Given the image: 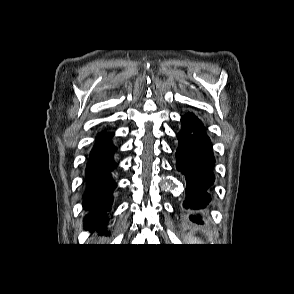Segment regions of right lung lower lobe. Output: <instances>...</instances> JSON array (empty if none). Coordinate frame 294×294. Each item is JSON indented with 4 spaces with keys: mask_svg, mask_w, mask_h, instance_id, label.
<instances>
[{
    "mask_svg": "<svg viewBox=\"0 0 294 294\" xmlns=\"http://www.w3.org/2000/svg\"><path fill=\"white\" fill-rule=\"evenodd\" d=\"M112 135L107 132L98 134L86 168L87 190L83 207L91 212L89 217L86 216L90 231L103 229L108 222L106 212L110 210L112 192L116 187L111 178V171L116 167L112 158L115 147L109 143Z\"/></svg>",
    "mask_w": 294,
    "mask_h": 294,
    "instance_id": "98d812e1",
    "label": "right lung lower lobe"
}]
</instances>
